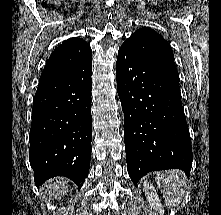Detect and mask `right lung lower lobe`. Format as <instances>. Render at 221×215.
<instances>
[{
    "label": "right lung lower lobe",
    "instance_id": "obj_1",
    "mask_svg": "<svg viewBox=\"0 0 221 215\" xmlns=\"http://www.w3.org/2000/svg\"><path fill=\"white\" fill-rule=\"evenodd\" d=\"M92 58L60 77L39 82L32 110L29 161L36 185L54 176L80 188L91 155Z\"/></svg>",
    "mask_w": 221,
    "mask_h": 215
}]
</instances>
